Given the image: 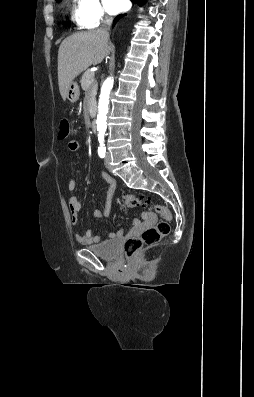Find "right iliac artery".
I'll list each match as a JSON object with an SVG mask.
<instances>
[{
	"mask_svg": "<svg viewBox=\"0 0 254 397\" xmlns=\"http://www.w3.org/2000/svg\"><path fill=\"white\" fill-rule=\"evenodd\" d=\"M98 154H99L100 158H104L105 154H106V148H99Z\"/></svg>",
	"mask_w": 254,
	"mask_h": 397,
	"instance_id": "obj_1",
	"label": "right iliac artery"
}]
</instances>
